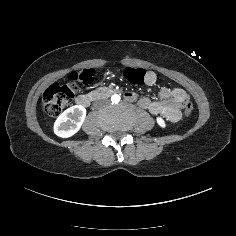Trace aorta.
I'll return each mask as SVG.
<instances>
[{"mask_svg": "<svg viewBox=\"0 0 236 236\" xmlns=\"http://www.w3.org/2000/svg\"><path fill=\"white\" fill-rule=\"evenodd\" d=\"M111 101H112L113 103H119V101H120V96L117 95V94L112 95Z\"/></svg>", "mask_w": 236, "mask_h": 236, "instance_id": "762f6f07", "label": "aorta"}]
</instances>
